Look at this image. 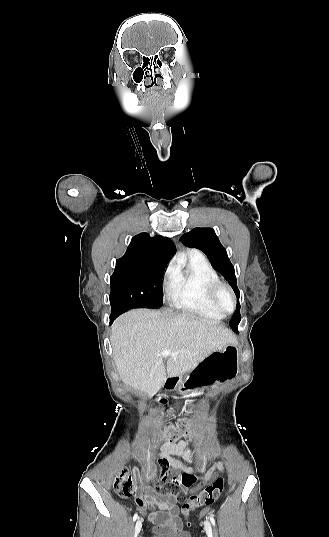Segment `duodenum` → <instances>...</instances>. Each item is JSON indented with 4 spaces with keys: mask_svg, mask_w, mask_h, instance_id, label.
<instances>
[{
    "mask_svg": "<svg viewBox=\"0 0 329 537\" xmlns=\"http://www.w3.org/2000/svg\"><path fill=\"white\" fill-rule=\"evenodd\" d=\"M178 384V381L174 378H168L165 382H164V389L165 390H173Z\"/></svg>",
    "mask_w": 329,
    "mask_h": 537,
    "instance_id": "obj_1",
    "label": "duodenum"
}]
</instances>
